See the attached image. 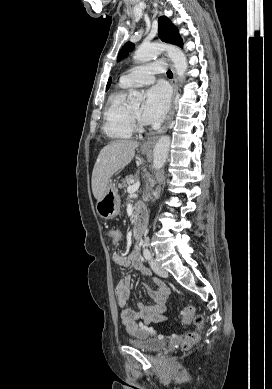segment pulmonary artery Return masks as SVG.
<instances>
[{"instance_id": "1", "label": "pulmonary artery", "mask_w": 272, "mask_h": 389, "mask_svg": "<svg viewBox=\"0 0 272 389\" xmlns=\"http://www.w3.org/2000/svg\"><path fill=\"white\" fill-rule=\"evenodd\" d=\"M164 61H157L136 66L120 78V83L127 87L149 85L154 82L155 74L164 73Z\"/></svg>"}]
</instances>
